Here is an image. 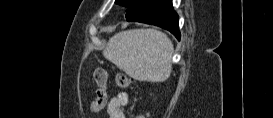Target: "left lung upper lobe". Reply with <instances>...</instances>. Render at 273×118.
Masks as SVG:
<instances>
[{
  "label": "left lung upper lobe",
  "instance_id": "5c2ea615",
  "mask_svg": "<svg viewBox=\"0 0 273 118\" xmlns=\"http://www.w3.org/2000/svg\"><path fill=\"white\" fill-rule=\"evenodd\" d=\"M116 3L126 6V19L129 22H139L163 8L169 0H116Z\"/></svg>",
  "mask_w": 273,
  "mask_h": 118
}]
</instances>
